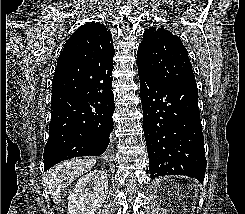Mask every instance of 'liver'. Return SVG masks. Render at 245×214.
<instances>
[{
    "label": "liver",
    "instance_id": "obj_1",
    "mask_svg": "<svg viewBox=\"0 0 245 214\" xmlns=\"http://www.w3.org/2000/svg\"><path fill=\"white\" fill-rule=\"evenodd\" d=\"M96 163L93 158H77L62 162L46 173L45 183L52 196L54 204L61 201V196L66 186L77 177L84 175Z\"/></svg>",
    "mask_w": 245,
    "mask_h": 214
}]
</instances>
